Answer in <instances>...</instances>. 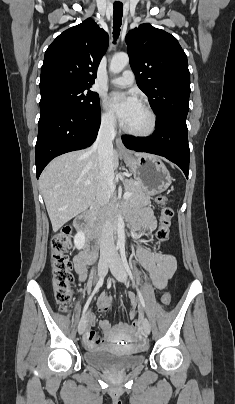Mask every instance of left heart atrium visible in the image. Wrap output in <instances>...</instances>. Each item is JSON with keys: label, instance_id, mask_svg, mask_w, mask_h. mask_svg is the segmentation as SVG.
<instances>
[{"label": "left heart atrium", "instance_id": "obj_1", "mask_svg": "<svg viewBox=\"0 0 235 404\" xmlns=\"http://www.w3.org/2000/svg\"><path fill=\"white\" fill-rule=\"evenodd\" d=\"M107 104L120 121L125 124L138 107L139 101L132 95L115 92L108 97Z\"/></svg>", "mask_w": 235, "mask_h": 404}]
</instances>
